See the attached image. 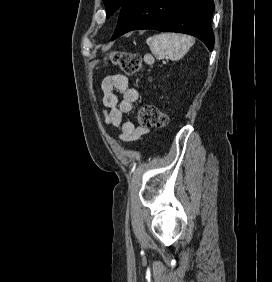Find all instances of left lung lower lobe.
<instances>
[{"instance_id": "0a47b994", "label": "left lung lower lobe", "mask_w": 272, "mask_h": 282, "mask_svg": "<svg viewBox=\"0 0 272 282\" xmlns=\"http://www.w3.org/2000/svg\"><path fill=\"white\" fill-rule=\"evenodd\" d=\"M214 8L213 0H126L111 40L132 30L155 29L193 35L212 51Z\"/></svg>"}]
</instances>
